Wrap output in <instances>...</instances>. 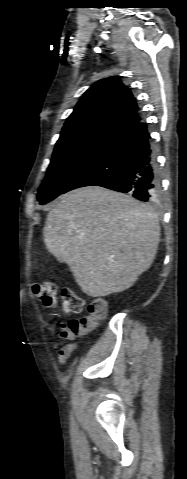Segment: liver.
<instances>
[{"instance_id": "liver-1", "label": "liver", "mask_w": 187, "mask_h": 479, "mask_svg": "<svg viewBox=\"0 0 187 479\" xmlns=\"http://www.w3.org/2000/svg\"><path fill=\"white\" fill-rule=\"evenodd\" d=\"M43 237L82 291L99 297L130 288L150 268L160 226L157 214L136 199L94 186L60 196Z\"/></svg>"}]
</instances>
